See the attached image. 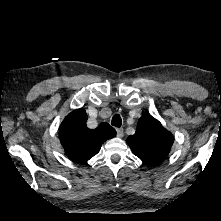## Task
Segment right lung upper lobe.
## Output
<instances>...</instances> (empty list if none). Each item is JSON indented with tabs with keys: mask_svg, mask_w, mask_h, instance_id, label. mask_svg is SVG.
<instances>
[{
	"mask_svg": "<svg viewBox=\"0 0 221 221\" xmlns=\"http://www.w3.org/2000/svg\"><path fill=\"white\" fill-rule=\"evenodd\" d=\"M87 114L84 109L71 112L61 123L60 141L66 155L76 162H86L96 155L101 145L116 135L108 123H101L96 129L86 126Z\"/></svg>",
	"mask_w": 221,
	"mask_h": 221,
	"instance_id": "obj_1",
	"label": "right lung upper lobe"
}]
</instances>
